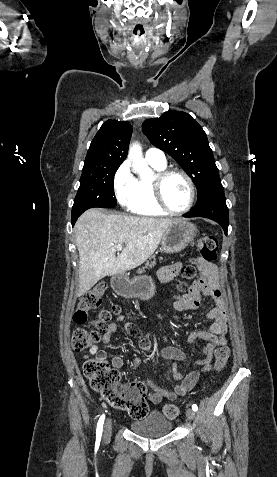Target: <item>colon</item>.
<instances>
[{"label":"colon","mask_w":277,"mask_h":477,"mask_svg":"<svg viewBox=\"0 0 277 477\" xmlns=\"http://www.w3.org/2000/svg\"><path fill=\"white\" fill-rule=\"evenodd\" d=\"M198 253L207 261L217 258L218 242L214 236H204L195 243ZM183 278L190 280L195 276L193 265L184 266L181 270ZM181 290H186V282L179 285ZM106 285L100 283L84 294L73 314V321L79 325L88 322V312L99 309ZM119 313L117 306L99 309L97 316L91 321V329L78 327L72 334V345L75 350H85L100 341L102 333L107 329L112 316ZM230 351L228 347L221 346L216 350L214 368L221 370L227 364ZM84 375L91 387L112 408L126 411L133 418H143L148 413V404L145 401L146 387L141 382L122 384L119 373L111 368L103 356L86 357L83 362ZM163 413L168 419L178 416L179 410L173 404H167Z\"/></svg>","instance_id":"colon-1"}]
</instances>
